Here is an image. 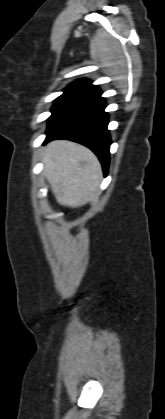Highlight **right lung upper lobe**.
<instances>
[{
  "label": "right lung upper lobe",
  "mask_w": 165,
  "mask_h": 419,
  "mask_svg": "<svg viewBox=\"0 0 165 419\" xmlns=\"http://www.w3.org/2000/svg\"><path fill=\"white\" fill-rule=\"evenodd\" d=\"M65 91L78 93L83 97L94 95L100 92L99 88L95 85H92L91 81H89L88 79H80L71 83L67 86Z\"/></svg>",
  "instance_id": "1"
}]
</instances>
